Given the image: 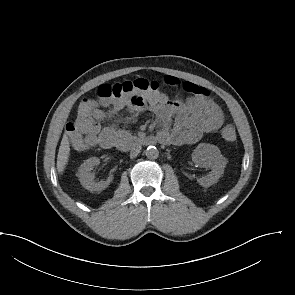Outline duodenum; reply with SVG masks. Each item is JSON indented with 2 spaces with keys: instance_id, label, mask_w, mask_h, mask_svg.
<instances>
[{
  "instance_id": "obj_1",
  "label": "duodenum",
  "mask_w": 295,
  "mask_h": 295,
  "mask_svg": "<svg viewBox=\"0 0 295 295\" xmlns=\"http://www.w3.org/2000/svg\"><path fill=\"white\" fill-rule=\"evenodd\" d=\"M168 144V140L159 136H143L134 137L130 135H122L114 143L113 146H119L127 149H131L138 146H149L153 144Z\"/></svg>"
}]
</instances>
